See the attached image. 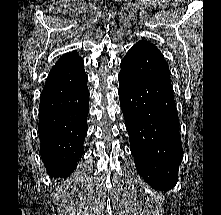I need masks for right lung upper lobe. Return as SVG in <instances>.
Here are the masks:
<instances>
[{
	"instance_id": "cb5924a9",
	"label": "right lung upper lobe",
	"mask_w": 221,
	"mask_h": 215,
	"mask_svg": "<svg viewBox=\"0 0 221 215\" xmlns=\"http://www.w3.org/2000/svg\"><path fill=\"white\" fill-rule=\"evenodd\" d=\"M78 58L79 56L76 53H66L60 57V59L55 63L51 71L56 70Z\"/></svg>"
}]
</instances>
